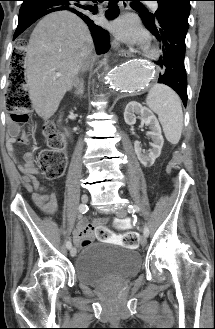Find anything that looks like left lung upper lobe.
<instances>
[{"instance_id": "obj_1", "label": "left lung upper lobe", "mask_w": 215, "mask_h": 329, "mask_svg": "<svg viewBox=\"0 0 215 329\" xmlns=\"http://www.w3.org/2000/svg\"><path fill=\"white\" fill-rule=\"evenodd\" d=\"M158 2V9L155 14H146L143 21L149 25H155L160 19H168L176 22L186 31L189 28L188 17L191 0H155Z\"/></svg>"}]
</instances>
